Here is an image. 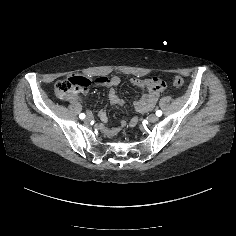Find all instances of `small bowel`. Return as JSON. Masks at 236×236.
<instances>
[{
  "label": "small bowel",
  "instance_id": "obj_1",
  "mask_svg": "<svg viewBox=\"0 0 236 236\" xmlns=\"http://www.w3.org/2000/svg\"><path fill=\"white\" fill-rule=\"evenodd\" d=\"M98 82L103 83V84H109V83L117 84V83L119 82V79H118L117 77H113V78H110V79H108V78H99V79H98ZM154 82H155L156 84H158V85L161 84L159 81L157 82L156 80H154ZM133 83L136 84V85L141 86L142 83H149V82H148V81H140V80H136V79H135V80L133 81ZM109 98H110V102H111L112 104H121V100L117 97V95H116V93H115V91H114L113 89H111L110 92H109ZM70 99H71V101L74 102V103L78 102V98H77V97H71ZM155 101H156V96L152 97V98L146 103V105H145L144 107L138 109V111H139L140 113H144V112L150 110V109L153 107V105L155 104ZM103 115H104V114L102 113V116H103ZM135 122H136V120H132V121H131V125H134Z\"/></svg>",
  "mask_w": 236,
  "mask_h": 236
}]
</instances>
